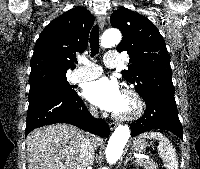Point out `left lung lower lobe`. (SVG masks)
I'll return each instance as SVG.
<instances>
[{"label": "left lung lower lobe", "mask_w": 200, "mask_h": 169, "mask_svg": "<svg viewBox=\"0 0 200 169\" xmlns=\"http://www.w3.org/2000/svg\"><path fill=\"white\" fill-rule=\"evenodd\" d=\"M144 115L131 124V135L162 129L169 130L183 140L182 126L178 118L174 95L150 93L144 98Z\"/></svg>", "instance_id": "obj_1"}]
</instances>
